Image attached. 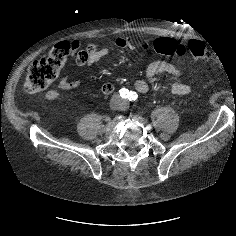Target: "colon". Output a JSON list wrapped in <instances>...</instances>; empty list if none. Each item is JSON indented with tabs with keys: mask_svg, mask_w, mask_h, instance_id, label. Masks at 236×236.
Returning a JSON list of instances; mask_svg holds the SVG:
<instances>
[{
	"mask_svg": "<svg viewBox=\"0 0 236 236\" xmlns=\"http://www.w3.org/2000/svg\"><path fill=\"white\" fill-rule=\"evenodd\" d=\"M187 46L195 59L207 61L210 58L206 45L202 41L192 39ZM144 47L145 49L153 47L158 53L168 56L181 57L187 52L185 45L168 38L157 39L152 46L147 43ZM72 51L73 49L68 42H60L50 50L46 57L32 62L24 81L25 91L37 93L55 82L59 78L60 72L71 56Z\"/></svg>",
	"mask_w": 236,
	"mask_h": 236,
	"instance_id": "obj_1",
	"label": "colon"
}]
</instances>
